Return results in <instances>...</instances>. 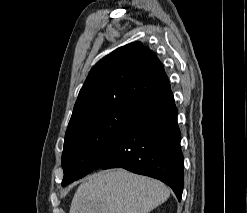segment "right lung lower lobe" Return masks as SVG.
Here are the masks:
<instances>
[{
	"instance_id": "98d812e1",
	"label": "right lung lower lobe",
	"mask_w": 247,
	"mask_h": 213,
	"mask_svg": "<svg viewBox=\"0 0 247 213\" xmlns=\"http://www.w3.org/2000/svg\"><path fill=\"white\" fill-rule=\"evenodd\" d=\"M130 114L99 153L94 169L124 168L169 185L181 200L184 161L169 83L130 101Z\"/></svg>"
}]
</instances>
